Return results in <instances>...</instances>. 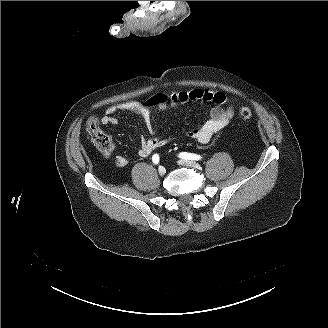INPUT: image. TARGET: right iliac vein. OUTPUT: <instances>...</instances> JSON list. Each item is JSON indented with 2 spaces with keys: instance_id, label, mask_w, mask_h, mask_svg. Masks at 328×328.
I'll return each mask as SVG.
<instances>
[{
  "instance_id": "right-iliac-vein-1",
  "label": "right iliac vein",
  "mask_w": 328,
  "mask_h": 328,
  "mask_svg": "<svg viewBox=\"0 0 328 328\" xmlns=\"http://www.w3.org/2000/svg\"><path fill=\"white\" fill-rule=\"evenodd\" d=\"M158 172H159V174H160L161 176L165 175V173H166V169H165V167L160 166V167L158 168Z\"/></svg>"
}]
</instances>
